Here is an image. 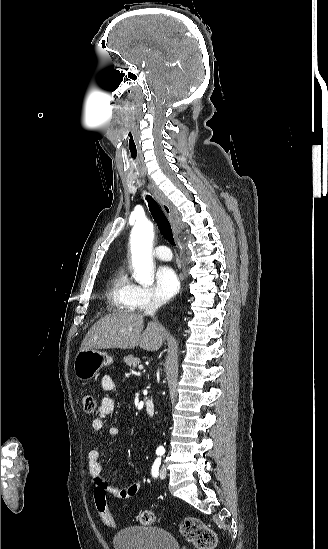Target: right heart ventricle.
<instances>
[{
    "label": "right heart ventricle",
    "mask_w": 328,
    "mask_h": 549,
    "mask_svg": "<svg viewBox=\"0 0 328 549\" xmlns=\"http://www.w3.org/2000/svg\"><path fill=\"white\" fill-rule=\"evenodd\" d=\"M137 303H143L140 287L128 277L123 267L118 268L108 286L106 306L110 310H136Z\"/></svg>",
    "instance_id": "1"
}]
</instances>
